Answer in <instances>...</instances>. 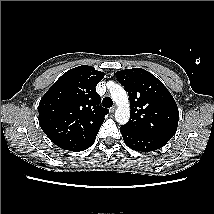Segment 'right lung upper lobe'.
Segmentation results:
<instances>
[{"label": "right lung upper lobe", "mask_w": 214, "mask_h": 214, "mask_svg": "<svg viewBox=\"0 0 214 214\" xmlns=\"http://www.w3.org/2000/svg\"><path fill=\"white\" fill-rule=\"evenodd\" d=\"M104 73L88 65L64 73L41 98L39 124L58 147L81 151L95 138L108 109L99 106L97 84Z\"/></svg>", "instance_id": "right-lung-upper-lobe-1"}]
</instances>
